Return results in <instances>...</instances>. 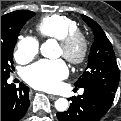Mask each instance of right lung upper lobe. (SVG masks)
I'll use <instances>...</instances> for the list:
<instances>
[{
  "label": "right lung upper lobe",
  "instance_id": "cb5924a9",
  "mask_svg": "<svg viewBox=\"0 0 121 121\" xmlns=\"http://www.w3.org/2000/svg\"><path fill=\"white\" fill-rule=\"evenodd\" d=\"M26 10H18V11H14L11 13H8L4 16L1 17V24L7 23L9 22L11 19L17 18L19 16H21L22 14L25 13Z\"/></svg>",
  "mask_w": 121,
  "mask_h": 121
}]
</instances>
